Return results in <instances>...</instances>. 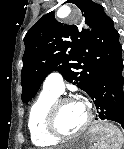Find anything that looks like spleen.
<instances>
[{"instance_id":"1","label":"spleen","mask_w":124,"mask_h":149,"mask_svg":"<svg viewBox=\"0 0 124 149\" xmlns=\"http://www.w3.org/2000/svg\"><path fill=\"white\" fill-rule=\"evenodd\" d=\"M95 135L99 149H121L123 138L120 130L112 124L104 123ZM117 138V139H115Z\"/></svg>"}]
</instances>
